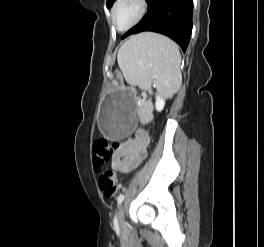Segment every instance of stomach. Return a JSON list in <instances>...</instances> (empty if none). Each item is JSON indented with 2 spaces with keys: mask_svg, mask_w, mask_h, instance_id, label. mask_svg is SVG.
<instances>
[{
  "mask_svg": "<svg viewBox=\"0 0 264 247\" xmlns=\"http://www.w3.org/2000/svg\"><path fill=\"white\" fill-rule=\"evenodd\" d=\"M137 113L139 108L132 90L107 95L100 107L99 121L109 141H122L123 136H131V131H136Z\"/></svg>",
  "mask_w": 264,
  "mask_h": 247,
  "instance_id": "stomach-1",
  "label": "stomach"
}]
</instances>
